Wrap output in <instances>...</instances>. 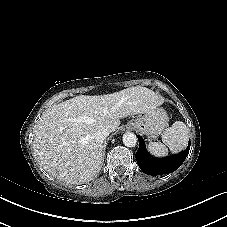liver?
<instances>
[{
    "label": "liver",
    "instance_id": "1",
    "mask_svg": "<svg viewBox=\"0 0 227 227\" xmlns=\"http://www.w3.org/2000/svg\"><path fill=\"white\" fill-rule=\"evenodd\" d=\"M155 93L141 86L103 96L80 95L53 105L36 125L33 149L53 177L71 184L92 180L103 162L102 142L94 133L114 132L120 119L148 113L159 105Z\"/></svg>",
    "mask_w": 227,
    "mask_h": 227
}]
</instances>
